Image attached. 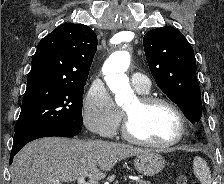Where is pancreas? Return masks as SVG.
I'll use <instances>...</instances> for the list:
<instances>
[{"label":"pancreas","instance_id":"pancreas-1","mask_svg":"<svg viewBox=\"0 0 224 184\" xmlns=\"http://www.w3.org/2000/svg\"><path fill=\"white\" fill-rule=\"evenodd\" d=\"M116 184H117V183H116ZM136 184H151V183H150V182H146V181L140 179V180H137V181H136Z\"/></svg>","mask_w":224,"mask_h":184}]
</instances>
